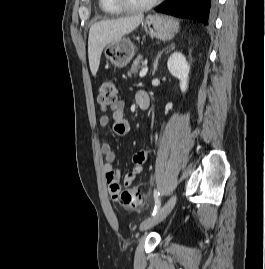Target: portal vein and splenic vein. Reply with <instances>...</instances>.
I'll return each instance as SVG.
<instances>
[{"label":"portal vein and splenic vein","mask_w":265,"mask_h":269,"mask_svg":"<svg viewBox=\"0 0 265 269\" xmlns=\"http://www.w3.org/2000/svg\"><path fill=\"white\" fill-rule=\"evenodd\" d=\"M147 72H148V67L145 66L144 68L141 69L139 76L144 77L147 74Z\"/></svg>","instance_id":"obj_1"}]
</instances>
